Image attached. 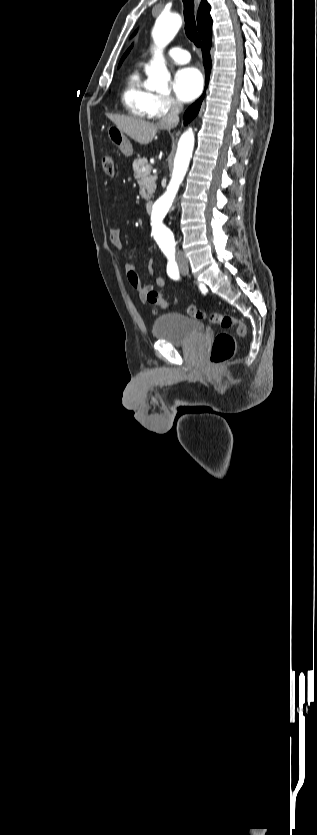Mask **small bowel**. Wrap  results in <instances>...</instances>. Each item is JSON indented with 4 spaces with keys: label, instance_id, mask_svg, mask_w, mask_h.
Here are the masks:
<instances>
[{
    "label": "small bowel",
    "instance_id": "1",
    "mask_svg": "<svg viewBox=\"0 0 317 835\" xmlns=\"http://www.w3.org/2000/svg\"><path fill=\"white\" fill-rule=\"evenodd\" d=\"M108 240L111 243V245L114 246L116 249H121L122 244H121V241H120V232H119V229L117 227H112L109 230ZM147 268H148L149 274L151 276H154L155 275L154 262H149ZM125 270H126L127 278H128V281H129L131 287L133 289H135L141 297H144L146 292H148L149 290L152 289V285L142 284V282H141V280H140V278L137 274L136 266L133 262H128L125 266ZM155 284H156L157 287L162 288V287L165 286V279L160 275H156L155 276Z\"/></svg>",
    "mask_w": 317,
    "mask_h": 835
}]
</instances>
